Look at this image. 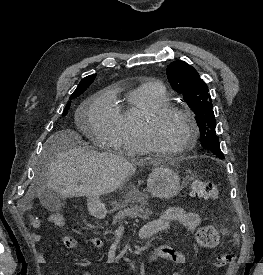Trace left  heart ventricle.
Segmentation results:
<instances>
[{
  "label": "left heart ventricle",
  "instance_id": "b2bd125f",
  "mask_svg": "<svg viewBox=\"0 0 263 275\" xmlns=\"http://www.w3.org/2000/svg\"><path fill=\"white\" fill-rule=\"evenodd\" d=\"M189 134L188 122L179 115H168L159 119L153 128L157 145L164 149H176L183 145Z\"/></svg>",
  "mask_w": 263,
  "mask_h": 275
}]
</instances>
